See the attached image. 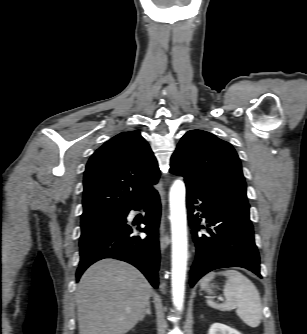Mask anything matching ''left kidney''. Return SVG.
<instances>
[{"mask_svg": "<svg viewBox=\"0 0 307 334\" xmlns=\"http://www.w3.org/2000/svg\"><path fill=\"white\" fill-rule=\"evenodd\" d=\"M208 334H241V333L227 325L221 323H213L209 328Z\"/></svg>", "mask_w": 307, "mask_h": 334, "instance_id": "obj_1", "label": "left kidney"}]
</instances>
